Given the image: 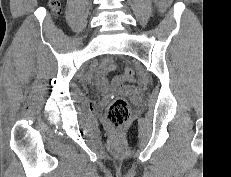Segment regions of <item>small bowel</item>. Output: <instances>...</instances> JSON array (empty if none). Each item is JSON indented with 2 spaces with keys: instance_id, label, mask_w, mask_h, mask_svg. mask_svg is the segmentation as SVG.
<instances>
[{
  "instance_id": "c3829d8e",
  "label": "small bowel",
  "mask_w": 231,
  "mask_h": 177,
  "mask_svg": "<svg viewBox=\"0 0 231 177\" xmlns=\"http://www.w3.org/2000/svg\"><path fill=\"white\" fill-rule=\"evenodd\" d=\"M116 66L111 60L106 59L103 65L99 68L96 76V85L104 93L111 91H119L123 88V80L121 76L115 77L111 83L107 80L108 73L115 71Z\"/></svg>"
}]
</instances>
